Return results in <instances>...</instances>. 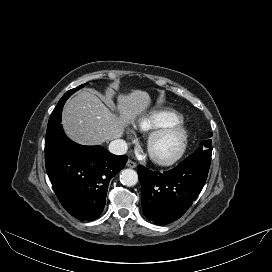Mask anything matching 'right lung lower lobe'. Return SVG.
<instances>
[{"instance_id":"1","label":"right lung lower lobe","mask_w":272,"mask_h":272,"mask_svg":"<svg viewBox=\"0 0 272 272\" xmlns=\"http://www.w3.org/2000/svg\"><path fill=\"white\" fill-rule=\"evenodd\" d=\"M128 157L101 146H83L69 140L59 125L46 134L45 164L62 206L79 220L102 213L110 180L124 168Z\"/></svg>"}]
</instances>
